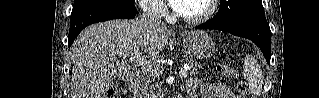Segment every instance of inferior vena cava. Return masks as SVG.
<instances>
[{"label":"inferior vena cava","mask_w":319,"mask_h":98,"mask_svg":"<svg viewBox=\"0 0 319 98\" xmlns=\"http://www.w3.org/2000/svg\"><path fill=\"white\" fill-rule=\"evenodd\" d=\"M143 14L140 17V20L149 26L155 27H165L164 23L161 21V17L158 13V8L152 2L146 1L143 6Z\"/></svg>","instance_id":"inferior-vena-cava-1"}]
</instances>
